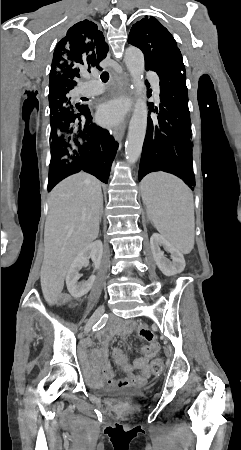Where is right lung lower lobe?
<instances>
[{
  "label": "right lung lower lobe",
  "mask_w": 241,
  "mask_h": 450,
  "mask_svg": "<svg viewBox=\"0 0 241 450\" xmlns=\"http://www.w3.org/2000/svg\"><path fill=\"white\" fill-rule=\"evenodd\" d=\"M91 120L89 111L80 119L59 124V129L74 142V148L71 151H51L48 191L67 176L81 170L104 183L108 182L118 143L107 130L97 127Z\"/></svg>",
  "instance_id": "right-lung-lower-lobe-1"
}]
</instances>
